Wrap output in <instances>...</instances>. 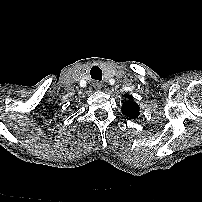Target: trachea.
<instances>
[{"instance_id": "trachea-1", "label": "trachea", "mask_w": 202, "mask_h": 202, "mask_svg": "<svg viewBox=\"0 0 202 202\" xmlns=\"http://www.w3.org/2000/svg\"><path fill=\"white\" fill-rule=\"evenodd\" d=\"M91 78L94 80H102V70L98 66H93L90 71Z\"/></svg>"}]
</instances>
